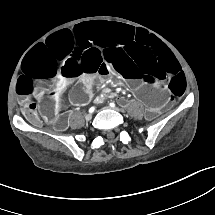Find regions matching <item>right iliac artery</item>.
Listing matches in <instances>:
<instances>
[{
  "mask_svg": "<svg viewBox=\"0 0 215 215\" xmlns=\"http://www.w3.org/2000/svg\"><path fill=\"white\" fill-rule=\"evenodd\" d=\"M94 107H91L90 109H89V112H93L94 111Z\"/></svg>",
  "mask_w": 215,
  "mask_h": 215,
  "instance_id": "right-iliac-artery-1",
  "label": "right iliac artery"
}]
</instances>
